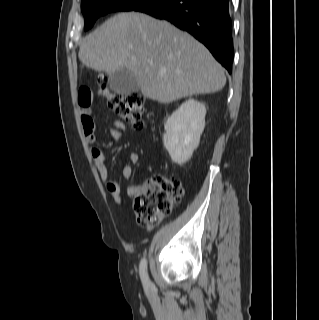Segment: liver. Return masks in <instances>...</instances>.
Here are the masks:
<instances>
[{"instance_id":"1","label":"liver","mask_w":319,"mask_h":320,"mask_svg":"<svg viewBox=\"0 0 319 320\" xmlns=\"http://www.w3.org/2000/svg\"><path fill=\"white\" fill-rule=\"evenodd\" d=\"M78 56L98 72L128 69L142 95L160 103L214 93L226 83L223 67L194 37L142 13L105 21L83 39Z\"/></svg>"}]
</instances>
